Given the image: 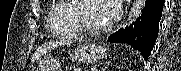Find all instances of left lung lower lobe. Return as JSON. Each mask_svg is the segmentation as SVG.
<instances>
[{
    "instance_id": "1",
    "label": "left lung lower lobe",
    "mask_w": 181,
    "mask_h": 71,
    "mask_svg": "<svg viewBox=\"0 0 181 71\" xmlns=\"http://www.w3.org/2000/svg\"><path fill=\"white\" fill-rule=\"evenodd\" d=\"M164 2L165 0H146L142 14L135 23L109 36L108 42L129 44L147 60L158 36Z\"/></svg>"
}]
</instances>
